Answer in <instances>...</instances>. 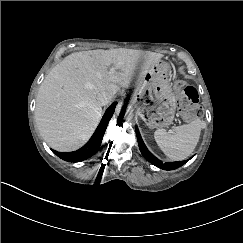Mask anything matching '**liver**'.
<instances>
[{"mask_svg": "<svg viewBox=\"0 0 243 243\" xmlns=\"http://www.w3.org/2000/svg\"><path fill=\"white\" fill-rule=\"evenodd\" d=\"M163 57L151 51L118 48L75 52L41 83L35 121L43 139L58 151H73L93 134L102 115L98 93L128 88L136 71L144 74Z\"/></svg>", "mask_w": 243, "mask_h": 243, "instance_id": "liver-1", "label": "liver"}]
</instances>
